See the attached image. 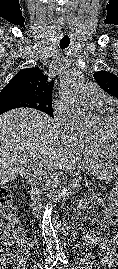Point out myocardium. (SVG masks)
<instances>
[{
    "label": "myocardium",
    "instance_id": "1",
    "mask_svg": "<svg viewBox=\"0 0 118 269\" xmlns=\"http://www.w3.org/2000/svg\"><path fill=\"white\" fill-rule=\"evenodd\" d=\"M116 118H118V109L110 110L100 116V120H102L107 126L112 124ZM96 136L108 144L118 155V141L113 140L106 132L97 133Z\"/></svg>",
    "mask_w": 118,
    "mask_h": 269
}]
</instances>
